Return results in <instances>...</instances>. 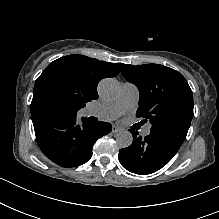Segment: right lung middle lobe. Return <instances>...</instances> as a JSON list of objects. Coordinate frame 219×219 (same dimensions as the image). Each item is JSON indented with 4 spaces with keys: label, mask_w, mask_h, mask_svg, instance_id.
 I'll return each mask as SVG.
<instances>
[{
    "label": "right lung middle lobe",
    "mask_w": 219,
    "mask_h": 219,
    "mask_svg": "<svg viewBox=\"0 0 219 219\" xmlns=\"http://www.w3.org/2000/svg\"><path fill=\"white\" fill-rule=\"evenodd\" d=\"M80 108L74 97L60 88L48 89L40 99V111L45 113L76 115Z\"/></svg>",
    "instance_id": "right-lung-middle-lobe-1"
}]
</instances>
